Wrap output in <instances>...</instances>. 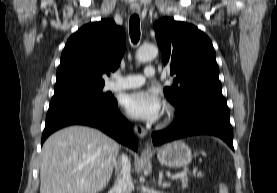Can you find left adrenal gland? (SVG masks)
Here are the masks:
<instances>
[{"label":"left adrenal gland","instance_id":"a2214340","mask_svg":"<svg viewBox=\"0 0 277 193\" xmlns=\"http://www.w3.org/2000/svg\"><path fill=\"white\" fill-rule=\"evenodd\" d=\"M163 179V171L159 172V178H158V185L161 186L162 188H168L170 187V183L168 182H162Z\"/></svg>","mask_w":277,"mask_h":193}]
</instances>
